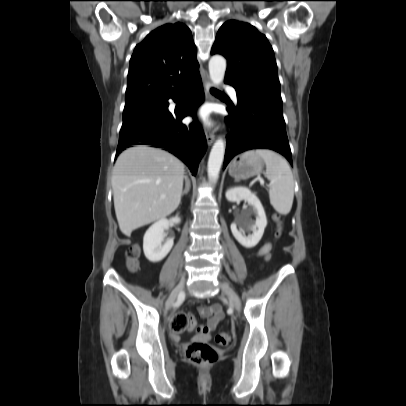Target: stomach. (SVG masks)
Masks as SVG:
<instances>
[{"instance_id":"0dacf381","label":"stomach","mask_w":406,"mask_h":406,"mask_svg":"<svg viewBox=\"0 0 406 406\" xmlns=\"http://www.w3.org/2000/svg\"><path fill=\"white\" fill-rule=\"evenodd\" d=\"M263 160L260 157L237 156L229 165V174L237 180L258 176L263 172Z\"/></svg>"}]
</instances>
